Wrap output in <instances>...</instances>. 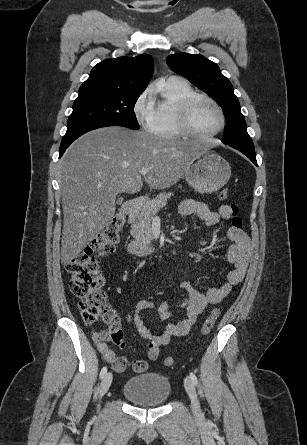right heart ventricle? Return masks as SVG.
Segmentation results:
<instances>
[{"label":"right heart ventricle","instance_id":"right-heart-ventricle-1","mask_svg":"<svg viewBox=\"0 0 307 445\" xmlns=\"http://www.w3.org/2000/svg\"><path fill=\"white\" fill-rule=\"evenodd\" d=\"M194 94L193 88L187 82L180 80H169L154 91L151 108L155 114V121L152 131L161 136L157 140H187L182 137L186 132L175 109Z\"/></svg>","mask_w":307,"mask_h":445}]
</instances>
